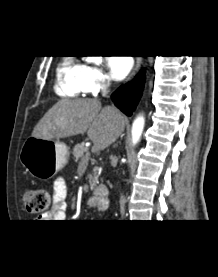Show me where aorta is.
Instances as JSON below:
<instances>
[{
  "instance_id": "aorta-1",
  "label": "aorta",
  "mask_w": 218,
  "mask_h": 277,
  "mask_svg": "<svg viewBox=\"0 0 218 277\" xmlns=\"http://www.w3.org/2000/svg\"><path fill=\"white\" fill-rule=\"evenodd\" d=\"M89 60L95 62L96 64H99L101 63V56H89ZM144 123V117L141 115L134 120L131 131L133 144H136L140 140L144 128Z\"/></svg>"
}]
</instances>
